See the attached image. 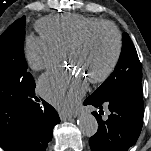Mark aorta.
<instances>
[{
    "mask_svg": "<svg viewBox=\"0 0 151 151\" xmlns=\"http://www.w3.org/2000/svg\"><path fill=\"white\" fill-rule=\"evenodd\" d=\"M78 127L84 136L91 137L98 130V122L92 114L84 113L78 118Z\"/></svg>",
    "mask_w": 151,
    "mask_h": 151,
    "instance_id": "aorta-1",
    "label": "aorta"
}]
</instances>
